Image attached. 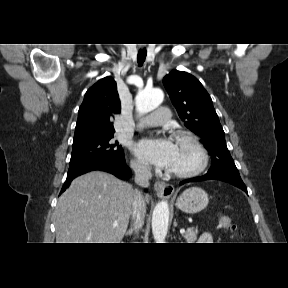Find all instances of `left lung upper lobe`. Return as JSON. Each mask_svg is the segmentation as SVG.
I'll return each instance as SVG.
<instances>
[{
	"label": "left lung upper lobe",
	"mask_w": 288,
	"mask_h": 288,
	"mask_svg": "<svg viewBox=\"0 0 288 288\" xmlns=\"http://www.w3.org/2000/svg\"><path fill=\"white\" fill-rule=\"evenodd\" d=\"M163 84L185 126L202 138L211 155L207 175L240 178L212 99L200 81L187 72L175 70L164 77Z\"/></svg>",
	"instance_id": "left-lung-upper-lobe-1"
}]
</instances>
